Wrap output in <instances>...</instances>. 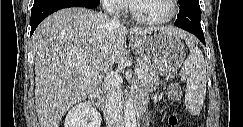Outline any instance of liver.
<instances>
[{"instance_id":"obj_1","label":"liver","mask_w":243,"mask_h":127,"mask_svg":"<svg viewBox=\"0 0 243 127\" xmlns=\"http://www.w3.org/2000/svg\"><path fill=\"white\" fill-rule=\"evenodd\" d=\"M148 28L127 29L106 14L86 8L59 10L44 19L32 36L35 60V104L41 127H59L66 111L84 100L100 78L121 63L126 35L141 36ZM183 39L191 35L177 28H159ZM89 66L88 72L84 67Z\"/></svg>"}]
</instances>
